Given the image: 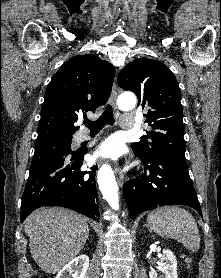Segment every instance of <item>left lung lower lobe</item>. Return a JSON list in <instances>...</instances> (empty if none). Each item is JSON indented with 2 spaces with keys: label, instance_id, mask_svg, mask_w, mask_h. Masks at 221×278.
I'll list each match as a JSON object with an SVG mask.
<instances>
[{
  "label": "left lung lower lobe",
  "instance_id": "left-lung-lower-lobe-1",
  "mask_svg": "<svg viewBox=\"0 0 221 278\" xmlns=\"http://www.w3.org/2000/svg\"><path fill=\"white\" fill-rule=\"evenodd\" d=\"M145 172L125 182L123 193L130 216L164 205H186L202 216L186 165L185 151H164L152 159L139 157Z\"/></svg>",
  "mask_w": 221,
  "mask_h": 278
}]
</instances>
